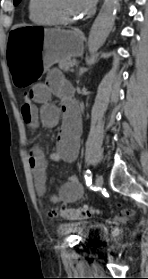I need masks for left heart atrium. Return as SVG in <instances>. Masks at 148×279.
Listing matches in <instances>:
<instances>
[{
    "label": "left heart atrium",
    "instance_id": "1",
    "mask_svg": "<svg viewBox=\"0 0 148 279\" xmlns=\"http://www.w3.org/2000/svg\"><path fill=\"white\" fill-rule=\"evenodd\" d=\"M97 0H78V5L82 14L90 13L96 6Z\"/></svg>",
    "mask_w": 148,
    "mask_h": 279
}]
</instances>
